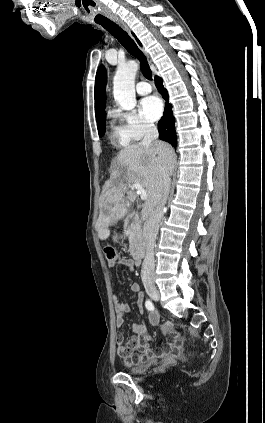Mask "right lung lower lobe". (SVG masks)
<instances>
[{
	"instance_id": "obj_1",
	"label": "right lung lower lobe",
	"mask_w": 265,
	"mask_h": 423,
	"mask_svg": "<svg viewBox=\"0 0 265 423\" xmlns=\"http://www.w3.org/2000/svg\"><path fill=\"white\" fill-rule=\"evenodd\" d=\"M163 81L160 77H155V85L159 93L166 100L164 115L158 122L159 138L170 143L173 147L177 145V136L175 131V118L172 113V106L168 103V92L163 87Z\"/></svg>"
}]
</instances>
